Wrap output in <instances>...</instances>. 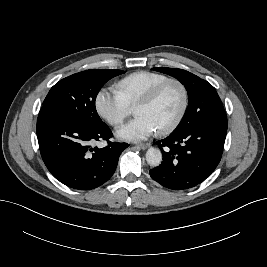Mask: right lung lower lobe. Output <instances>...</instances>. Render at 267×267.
Returning a JSON list of instances; mask_svg holds the SVG:
<instances>
[{
    "mask_svg": "<svg viewBox=\"0 0 267 267\" xmlns=\"http://www.w3.org/2000/svg\"><path fill=\"white\" fill-rule=\"evenodd\" d=\"M37 137L42 159L51 174L64 185L91 190L108 181L120 154L129 145L110 142V128L87 126L55 109L42 107L37 119ZM106 140L104 148L91 147Z\"/></svg>",
    "mask_w": 267,
    "mask_h": 267,
    "instance_id": "1",
    "label": "right lung lower lobe"
}]
</instances>
